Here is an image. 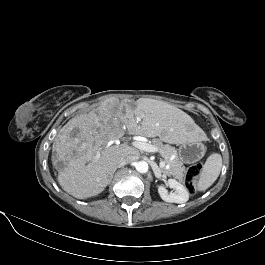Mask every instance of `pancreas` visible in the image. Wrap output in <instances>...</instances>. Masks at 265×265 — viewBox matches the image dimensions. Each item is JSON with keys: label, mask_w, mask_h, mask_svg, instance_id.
<instances>
[{"label": "pancreas", "mask_w": 265, "mask_h": 265, "mask_svg": "<svg viewBox=\"0 0 265 265\" xmlns=\"http://www.w3.org/2000/svg\"><path fill=\"white\" fill-rule=\"evenodd\" d=\"M152 144L159 149L161 156L165 159L166 164L169 166L168 168H161V171L168 176H173L176 179L183 181L185 169L183 167V163L177 155L176 149L168 144H163L158 139L153 140Z\"/></svg>", "instance_id": "pancreas-1"}]
</instances>
